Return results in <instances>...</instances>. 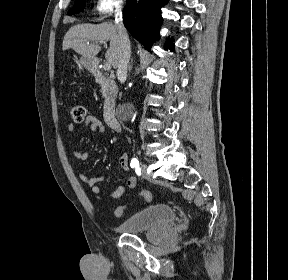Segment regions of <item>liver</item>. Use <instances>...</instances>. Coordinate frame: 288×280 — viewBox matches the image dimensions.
Segmentation results:
<instances>
[{
  "instance_id": "obj_1",
  "label": "liver",
  "mask_w": 288,
  "mask_h": 280,
  "mask_svg": "<svg viewBox=\"0 0 288 280\" xmlns=\"http://www.w3.org/2000/svg\"><path fill=\"white\" fill-rule=\"evenodd\" d=\"M110 41L105 58L113 68L118 66L120 38L116 25L104 22L98 25L78 24L65 34L62 49H73L83 57L94 58L101 50V44ZM99 43V44H98Z\"/></svg>"
}]
</instances>
